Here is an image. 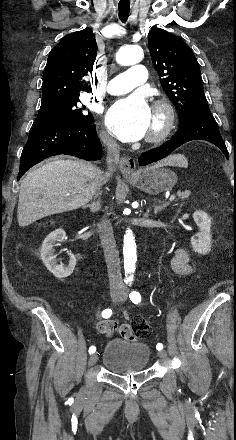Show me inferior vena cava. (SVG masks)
Listing matches in <instances>:
<instances>
[{
    "label": "inferior vena cava",
    "instance_id": "obj_1",
    "mask_svg": "<svg viewBox=\"0 0 236 440\" xmlns=\"http://www.w3.org/2000/svg\"><path fill=\"white\" fill-rule=\"evenodd\" d=\"M101 139L107 147L106 162L108 165V169L101 176L100 184L98 187V195L101 194L100 189L102 185L107 183L108 179L111 177L112 172L115 170V166L118 164L120 156V147L112 137L107 134H103L101 136ZM99 235L107 264L110 287L112 289L123 288L124 283L121 276L119 252L116 247V242L113 235V228L106 216H104L101 221V225L99 227Z\"/></svg>",
    "mask_w": 236,
    "mask_h": 440
}]
</instances>
